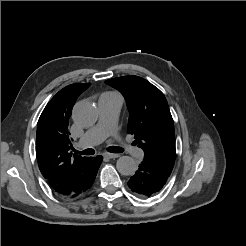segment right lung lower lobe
Returning <instances> with one entry per match:
<instances>
[{
  "label": "right lung lower lobe",
  "mask_w": 246,
  "mask_h": 246,
  "mask_svg": "<svg viewBox=\"0 0 246 246\" xmlns=\"http://www.w3.org/2000/svg\"><path fill=\"white\" fill-rule=\"evenodd\" d=\"M102 156L90 157L81 175L73 181L64 198H75L86 192L93 184L102 162Z\"/></svg>",
  "instance_id": "obj_1"
}]
</instances>
